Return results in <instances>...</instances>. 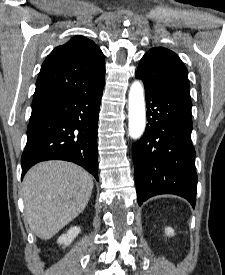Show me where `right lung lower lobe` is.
<instances>
[{
  "label": "right lung lower lobe",
  "mask_w": 225,
  "mask_h": 275,
  "mask_svg": "<svg viewBox=\"0 0 225 275\" xmlns=\"http://www.w3.org/2000/svg\"><path fill=\"white\" fill-rule=\"evenodd\" d=\"M105 76L87 93H69L32 104L22 176L45 160L74 162L98 181L97 123Z\"/></svg>",
  "instance_id": "1"
}]
</instances>
